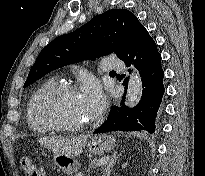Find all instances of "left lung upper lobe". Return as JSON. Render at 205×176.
<instances>
[{"label": "left lung upper lobe", "instance_id": "5c2ea615", "mask_svg": "<svg viewBox=\"0 0 205 176\" xmlns=\"http://www.w3.org/2000/svg\"><path fill=\"white\" fill-rule=\"evenodd\" d=\"M141 26L136 16L126 9H113L96 15L76 31L59 36L44 47L24 87L68 64L94 60L112 52L121 58Z\"/></svg>", "mask_w": 205, "mask_h": 176}]
</instances>
